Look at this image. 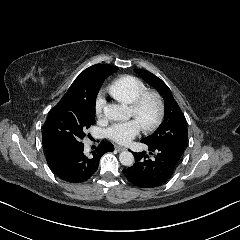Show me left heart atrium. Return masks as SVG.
Segmentation results:
<instances>
[{"label":"left heart atrium","instance_id":"39dd6f15","mask_svg":"<svg viewBox=\"0 0 240 240\" xmlns=\"http://www.w3.org/2000/svg\"><path fill=\"white\" fill-rule=\"evenodd\" d=\"M141 126L136 120L113 125L107 131V137L112 141L125 145L135 138L140 132Z\"/></svg>","mask_w":240,"mask_h":240}]
</instances>
